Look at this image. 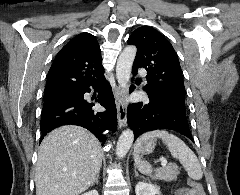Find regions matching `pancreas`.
<instances>
[{
	"instance_id": "pancreas-1",
	"label": "pancreas",
	"mask_w": 240,
	"mask_h": 195,
	"mask_svg": "<svg viewBox=\"0 0 240 195\" xmlns=\"http://www.w3.org/2000/svg\"><path fill=\"white\" fill-rule=\"evenodd\" d=\"M178 173H180L178 165H165V167H158L151 177L162 179V181H176Z\"/></svg>"
}]
</instances>
